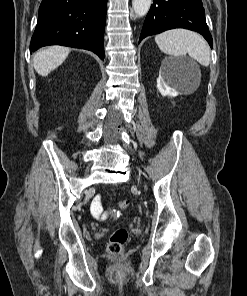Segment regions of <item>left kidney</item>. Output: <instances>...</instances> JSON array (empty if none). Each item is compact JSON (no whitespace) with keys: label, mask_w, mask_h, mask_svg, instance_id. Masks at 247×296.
Listing matches in <instances>:
<instances>
[{"label":"left kidney","mask_w":247,"mask_h":296,"mask_svg":"<svg viewBox=\"0 0 247 296\" xmlns=\"http://www.w3.org/2000/svg\"><path fill=\"white\" fill-rule=\"evenodd\" d=\"M190 79L191 76L181 60L165 59L157 78V89L163 96L175 97L180 94L177 90L180 82H188Z\"/></svg>","instance_id":"5707ae66"}]
</instances>
